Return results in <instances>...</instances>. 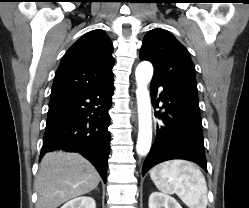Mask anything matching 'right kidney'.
I'll return each mask as SVG.
<instances>
[{
    "label": "right kidney",
    "mask_w": 249,
    "mask_h": 208,
    "mask_svg": "<svg viewBox=\"0 0 249 208\" xmlns=\"http://www.w3.org/2000/svg\"><path fill=\"white\" fill-rule=\"evenodd\" d=\"M61 208H96V203L92 197L83 196L68 201Z\"/></svg>",
    "instance_id": "ca27d5eb"
}]
</instances>
